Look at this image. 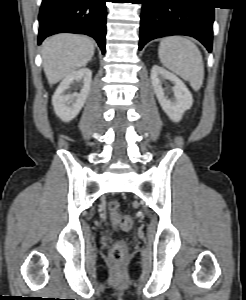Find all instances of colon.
Wrapping results in <instances>:
<instances>
[{
  "label": "colon",
  "instance_id": "obj_1",
  "mask_svg": "<svg viewBox=\"0 0 246 300\" xmlns=\"http://www.w3.org/2000/svg\"><path fill=\"white\" fill-rule=\"evenodd\" d=\"M118 203L116 201H111L109 203V210L111 212L112 219L114 223L119 226L122 230H129L132 227V219L127 215H119L117 213ZM127 256V247L123 242H117L113 245L110 258L115 263H120L125 260Z\"/></svg>",
  "mask_w": 246,
  "mask_h": 300
}]
</instances>
